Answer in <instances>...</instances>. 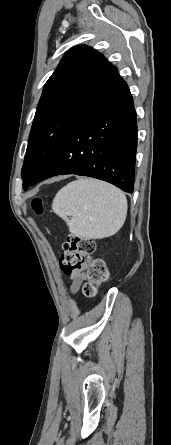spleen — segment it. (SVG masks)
I'll list each match as a JSON object with an SVG mask.
<instances>
[{"label":"spleen","instance_id":"spleen-1","mask_svg":"<svg viewBox=\"0 0 171 445\" xmlns=\"http://www.w3.org/2000/svg\"><path fill=\"white\" fill-rule=\"evenodd\" d=\"M125 194L115 186L93 178H80L63 187L52 209L67 223L69 231L84 239L116 234L127 215Z\"/></svg>","mask_w":171,"mask_h":445}]
</instances>
